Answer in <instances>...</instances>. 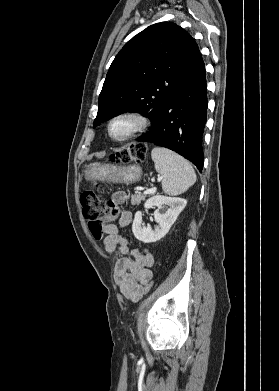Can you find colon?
Instances as JSON below:
<instances>
[{
  "label": "colon",
  "mask_w": 279,
  "mask_h": 391,
  "mask_svg": "<svg viewBox=\"0 0 279 391\" xmlns=\"http://www.w3.org/2000/svg\"><path fill=\"white\" fill-rule=\"evenodd\" d=\"M146 153L147 146L137 143L118 151L113 156V160L119 164L142 162L145 160ZM80 201L92 236L101 239L104 220L116 218L119 214V208L92 191L82 193ZM152 286L153 281L149 280L144 286L143 294H147Z\"/></svg>",
  "instance_id": "5ec220e1"
}]
</instances>
